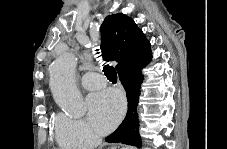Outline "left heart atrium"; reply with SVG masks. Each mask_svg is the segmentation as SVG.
<instances>
[{
	"label": "left heart atrium",
	"instance_id": "obj_1",
	"mask_svg": "<svg viewBox=\"0 0 227 149\" xmlns=\"http://www.w3.org/2000/svg\"><path fill=\"white\" fill-rule=\"evenodd\" d=\"M89 119L101 133L111 131L120 121L125 110L123 95L114 89H107L89 96L87 100Z\"/></svg>",
	"mask_w": 227,
	"mask_h": 149
}]
</instances>
